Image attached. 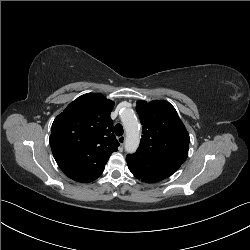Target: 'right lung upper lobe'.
Returning <instances> with one entry per match:
<instances>
[{
    "label": "right lung upper lobe",
    "mask_w": 250,
    "mask_h": 250,
    "mask_svg": "<svg viewBox=\"0 0 250 250\" xmlns=\"http://www.w3.org/2000/svg\"><path fill=\"white\" fill-rule=\"evenodd\" d=\"M114 102L101 94L87 93L58 115L50 146L62 171L71 179L88 183L97 179L119 142L110 113Z\"/></svg>",
    "instance_id": "cb5924a9"
}]
</instances>
